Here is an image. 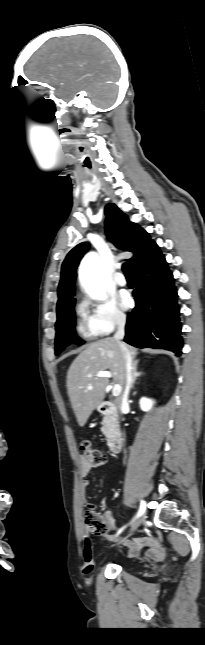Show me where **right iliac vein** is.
Here are the masks:
<instances>
[{"label": "right iliac vein", "instance_id": "obj_1", "mask_svg": "<svg viewBox=\"0 0 205 645\" xmlns=\"http://www.w3.org/2000/svg\"><path fill=\"white\" fill-rule=\"evenodd\" d=\"M144 516L142 515L140 518H138L131 526L130 531L128 533V536L131 535L143 522Z\"/></svg>", "mask_w": 205, "mask_h": 645}]
</instances>
